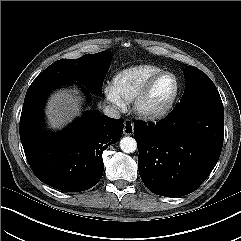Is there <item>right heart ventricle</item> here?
I'll list each match as a JSON object with an SVG mask.
<instances>
[{"label": "right heart ventricle", "mask_w": 241, "mask_h": 241, "mask_svg": "<svg viewBox=\"0 0 241 241\" xmlns=\"http://www.w3.org/2000/svg\"><path fill=\"white\" fill-rule=\"evenodd\" d=\"M162 71V68L151 64L131 66L113 76L112 87L123 102L128 103L134 100L152 77Z\"/></svg>", "instance_id": "1"}]
</instances>
